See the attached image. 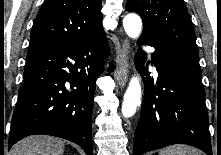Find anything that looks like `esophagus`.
Here are the masks:
<instances>
[{"mask_svg":"<svg viewBox=\"0 0 221 155\" xmlns=\"http://www.w3.org/2000/svg\"><path fill=\"white\" fill-rule=\"evenodd\" d=\"M128 75H129V42L127 39H125L121 45L118 66L115 73V77L121 88H123L126 85L128 81Z\"/></svg>","mask_w":221,"mask_h":155,"instance_id":"obj_1","label":"esophagus"}]
</instances>
